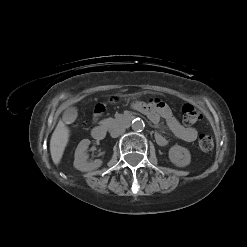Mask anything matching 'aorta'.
<instances>
[{"instance_id": "1", "label": "aorta", "mask_w": 247, "mask_h": 247, "mask_svg": "<svg viewBox=\"0 0 247 247\" xmlns=\"http://www.w3.org/2000/svg\"><path fill=\"white\" fill-rule=\"evenodd\" d=\"M132 129L134 131H142L145 127L144 121L140 118H136L132 121Z\"/></svg>"}]
</instances>
